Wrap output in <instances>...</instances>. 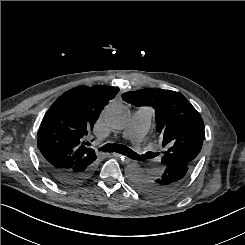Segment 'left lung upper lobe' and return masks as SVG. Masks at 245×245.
Wrapping results in <instances>:
<instances>
[{
	"mask_svg": "<svg viewBox=\"0 0 245 245\" xmlns=\"http://www.w3.org/2000/svg\"><path fill=\"white\" fill-rule=\"evenodd\" d=\"M134 106L155 109L156 130L165 148L162 164L185 161L195 163L205 139L200 114L181 93L163 89H141L122 94Z\"/></svg>",
	"mask_w": 245,
	"mask_h": 245,
	"instance_id": "left-lung-upper-lobe-1",
	"label": "left lung upper lobe"
}]
</instances>
